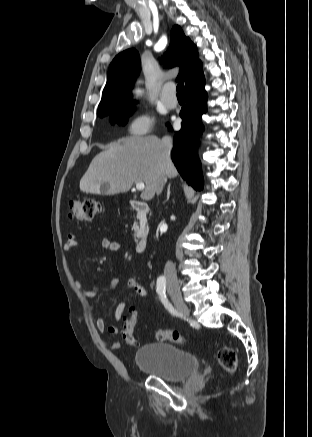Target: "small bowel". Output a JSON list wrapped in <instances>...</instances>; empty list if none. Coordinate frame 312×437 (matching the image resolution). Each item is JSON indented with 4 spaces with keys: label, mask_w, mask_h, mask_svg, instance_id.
<instances>
[{
    "label": "small bowel",
    "mask_w": 312,
    "mask_h": 437,
    "mask_svg": "<svg viewBox=\"0 0 312 437\" xmlns=\"http://www.w3.org/2000/svg\"><path fill=\"white\" fill-rule=\"evenodd\" d=\"M77 246H78L77 236L74 233H70L68 235L66 242L64 243V250L66 252H69L75 249ZM101 246L103 249L111 252H117L122 249L121 243L111 240L109 238H103L101 240ZM117 284H118V279L116 278L111 280V284L109 287H99V286L84 287L79 282H76V286L87 297H93L101 291L113 290ZM127 287L133 292H135L141 298H145L148 295L147 290L138 281H136L133 278H129L127 280ZM126 309H127L126 302L119 303V305L116 307L114 312V318L116 321H120L122 319ZM96 327L100 332H108L110 334L118 333V327L116 325H107L103 318H97ZM111 347L113 349H119L121 348V343L119 341H114L111 343Z\"/></svg>",
    "instance_id": "obj_1"
}]
</instances>
